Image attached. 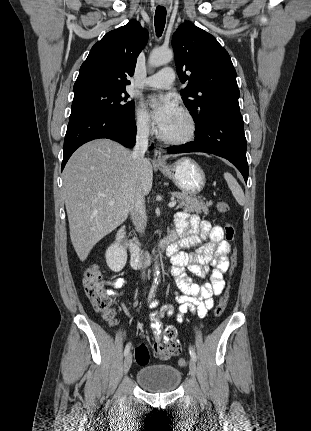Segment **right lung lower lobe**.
I'll use <instances>...</instances> for the list:
<instances>
[{
    "instance_id": "1",
    "label": "right lung lower lobe",
    "mask_w": 311,
    "mask_h": 431,
    "mask_svg": "<svg viewBox=\"0 0 311 431\" xmlns=\"http://www.w3.org/2000/svg\"><path fill=\"white\" fill-rule=\"evenodd\" d=\"M134 115L123 117L105 112H83L70 117L64 140L62 170L72 153L84 143L98 138H109L125 147L135 144Z\"/></svg>"
}]
</instances>
